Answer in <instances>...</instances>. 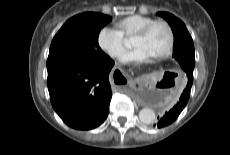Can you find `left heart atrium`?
Listing matches in <instances>:
<instances>
[{"label": "left heart atrium", "instance_id": "1", "mask_svg": "<svg viewBox=\"0 0 230 155\" xmlns=\"http://www.w3.org/2000/svg\"><path fill=\"white\" fill-rule=\"evenodd\" d=\"M152 58V55L144 47H137L134 50L126 52L122 58L121 62L125 64L129 63H143Z\"/></svg>", "mask_w": 230, "mask_h": 155}]
</instances>
